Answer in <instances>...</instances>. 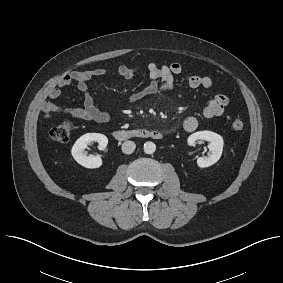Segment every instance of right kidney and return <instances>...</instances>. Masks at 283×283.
I'll return each instance as SVG.
<instances>
[{"instance_id": "obj_1", "label": "right kidney", "mask_w": 283, "mask_h": 283, "mask_svg": "<svg viewBox=\"0 0 283 283\" xmlns=\"http://www.w3.org/2000/svg\"><path fill=\"white\" fill-rule=\"evenodd\" d=\"M92 141L98 142L100 150H104L108 144V139L105 135L100 133H86L77 139L71 153L77 163L85 168L95 169L102 165V159L99 156H87L85 152L87 145Z\"/></svg>"}]
</instances>
